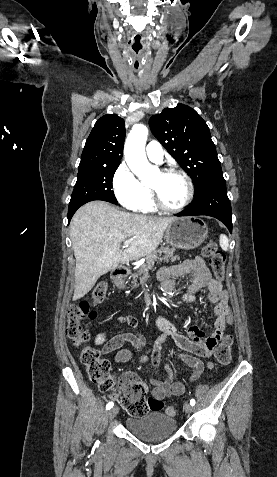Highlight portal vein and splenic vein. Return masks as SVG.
I'll return each instance as SVG.
<instances>
[{
	"label": "portal vein and splenic vein",
	"instance_id": "18ae733b",
	"mask_svg": "<svg viewBox=\"0 0 277 477\" xmlns=\"http://www.w3.org/2000/svg\"><path fill=\"white\" fill-rule=\"evenodd\" d=\"M132 240H133L132 238H131V239H128V240H126V241L124 242V245H123V247H124V248L128 247V246H129V244L132 242Z\"/></svg>",
	"mask_w": 277,
	"mask_h": 477
}]
</instances>
